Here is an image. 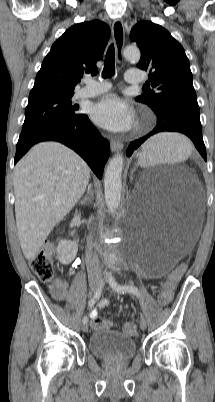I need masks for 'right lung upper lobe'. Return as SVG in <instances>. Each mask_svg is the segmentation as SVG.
Here are the masks:
<instances>
[{
	"mask_svg": "<svg viewBox=\"0 0 215 402\" xmlns=\"http://www.w3.org/2000/svg\"><path fill=\"white\" fill-rule=\"evenodd\" d=\"M110 28L99 20L75 24L52 45L29 98L42 95H73L85 73H97L96 62L102 57Z\"/></svg>",
	"mask_w": 215,
	"mask_h": 402,
	"instance_id": "1",
	"label": "right lung upper lobe"
}]
</instances>
